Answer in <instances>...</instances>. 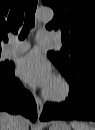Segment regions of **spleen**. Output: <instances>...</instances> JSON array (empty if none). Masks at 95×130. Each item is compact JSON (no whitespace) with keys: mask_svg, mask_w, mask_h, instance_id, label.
<instances>
[{"mask_svg":"<svg viewBox=\"0 0 95 130\" xmlns=\"http://www.w3.org/2000/svg\"><path fill=\"white\" fill-rule=\"evenodd\" d=\"M70 126L73 130H95V128L90 126L88 123L77 120L71 121Z\"/></svg>","mask_w":95,"mask_h":130,"instance_id":"spleen-1","label":"spleen"}]
</instances>
